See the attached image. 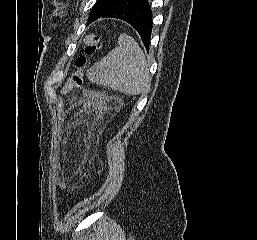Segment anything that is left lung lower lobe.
Segmentation results:
<instances>
[{
    "mask_svg": "<svg viewBox=\"0 0 257 240\" xmlns=\"http://www.w3.org/2000/svg\"><path fill=\"white\" fill-rule=\"evenodd\" d=\"M101 18H116L130 24L140 35L149 50L152 31V12L148 0H120Z\"/></svg>",
    "mask_w": 257,
    "mask_h": 240,
    "instance_id": "1",
    "label": "left lung lower lobe"
}]
</instances>
